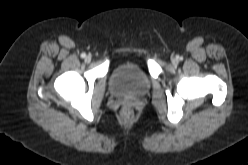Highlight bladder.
Segmentation results:
<instances>
[{
    "instance_id": "31cf9c89",
    "label": "bladder",
    "mask_w": 248,
    "mask_h": 165,
    "mask_svg": "<svg viewBox=\"0 0 248 165\" xmlns=\"http://www.w3.org/2000/svg\"><path fill=\"white\" fill-rule=\"evenodd\" d=\"M151 83L143 68L134 62L116 65L109 77V89L117 97L137 99L150 91Z\"/></svg>"
}]
</instances>
